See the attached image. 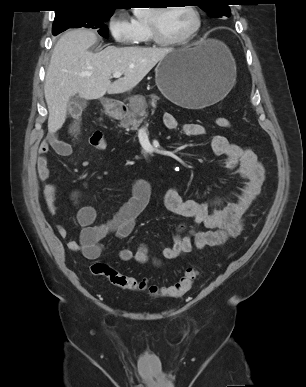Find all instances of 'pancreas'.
<instances>
[{
    "label": "pancreas",
    "mask_w": 306,
    "mask_h": 387,
    "mask_svg": "<svg viewBox=\"0 0 306 387\" xmlns=\"http://www.w3.org/2000/svg\"><path fill=\"white\" fill-rule=\"evenodd\" d=\"M157 97L153 96L150 103V106L152 107V111L156 108V100ZM131 102V108L133 109L134 113L125 117L122 120V125L124 127H130L131 130H137L140 124L143 122V120L147 117L146 108L148 107L146 103V99L144 96L137 95L133 96L130 99ZM137 114L138 117L135 115Z\"/></svg>",
    "instance_id": "pancreas-1"
}]
</instances>
